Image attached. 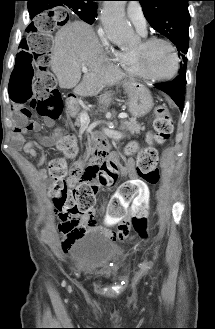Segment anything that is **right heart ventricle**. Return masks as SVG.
Listing matches in <instances>:
<instances>
[{"instance_id":"e07e8e85","label":"right heart ventricle","mask_w":215,"mask_h":329,"mask_svg":"<svg viewBox=\"0 0 215 329\" xmlns=\"http://www.w3.org/2000/svg\"><path fill=\"white\" fill-rule=\"evenodd\" d=\"M116 59L127 72L140 76L134 62V50L120 51Z\"/></svg>"}]
</instances>
